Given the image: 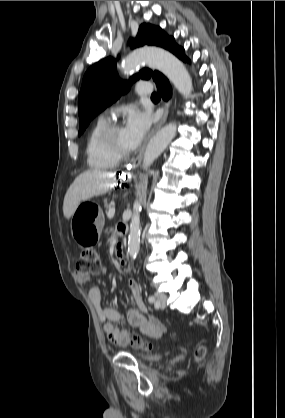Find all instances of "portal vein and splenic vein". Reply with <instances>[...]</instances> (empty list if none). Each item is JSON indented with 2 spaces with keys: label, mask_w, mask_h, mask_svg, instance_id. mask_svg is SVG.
<instances>
[{
  "label": "portal vein and splenic vein",
  "mask_w": 285,
  "mask_h": 418,
  "mask_svg": "<svg viewBox=\"0 0 285 418\" xmlns=\"http://www.w3.org/2000/svg\"><path fill=\"white\" fill-rule=\"evenodd\" d=\"M114 214H115V207H111L108 210L107 216H108V218H112L114 216Z\"/></svg>",
  "instance_id": "portal-vein-and-splenic-vein-1"
}]
</instances>
